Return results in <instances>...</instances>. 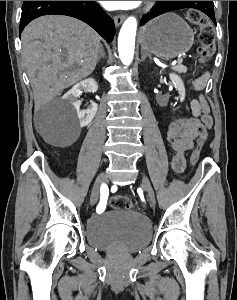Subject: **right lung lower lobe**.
Instances as JSON below:
<instances>
[{
    "instance_id": "1",
    "label": "right lung lower lobe",
    "mask_w": 237,
    "mask_h": 300,
    "mask_svg": "<svg viewBox=\"0 0 237 300\" xmlns=\"http://www.w3.org/2000/svg\"><path fill=\"white\" fill-rule=\"evenodd\" d=\"M51 14L80 19L95 29L107 42H111L115 34L114 21L94 1H24L19 34L33 19Z\"/></svg>"
}]
</instances>
